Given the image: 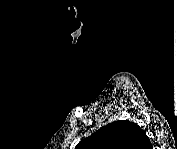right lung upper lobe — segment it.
<instances>
[{"label":"right lung upper lobe","instance_id":"1","mask_svg":"<svg viewBox=\"0 0 177 149\" xmlns=\"http://www.w3.org/2000/svg\"><path fill=\"white\" fill-rule=\"evenodd\" d=\"M145 132L128 120L115 121L101 127L80 141L75 149H145Z\"/></svg>","mask_w":177,"mask_h":149}]
</instances>
